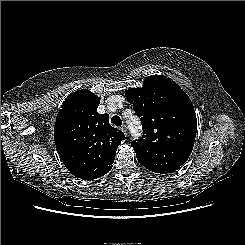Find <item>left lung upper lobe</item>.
<instances>
[{"instance_id":"obj_1","label":"left lung upper lobe","mask_w":245,"mask_h":245,"mask_svg":"<svg viewBox=\"0 0 245 245\" xmlns=\"http://www.w3.org/2000/svg\"><path fill=\"white\" fill-rule=\"evenodd\" d=\"M143 126V136L132 142L139 163L156 173H171L182 166L192 152L197 131L193 104L171 79L153 75L142 88L126 91Z\"/></svg>"}]
</instances>
